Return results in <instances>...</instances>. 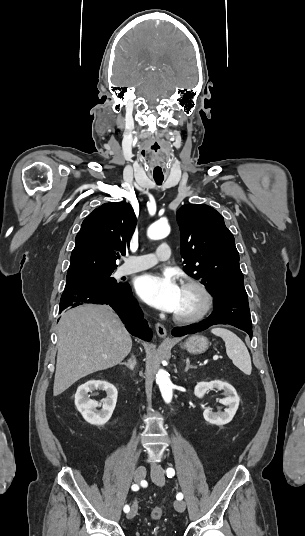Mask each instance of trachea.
Wrapping results in <instances>:
<instances>
[{
    "label": "trachea",
    "mask_w": 305,
    "mask_h": 536,
    "mask_svg": "<svg viewBox=\"0 0 305 536\" xmlns=\"http://www.w3.org/2000/svg\"><path fill=\"white\" fill-rule=\"evenodd\" d=\"M163 180H164L163 177H154V181L157 183V185H161Z\"/></svg>",
    "instance_id": "obj_1"
}]
</instances>
